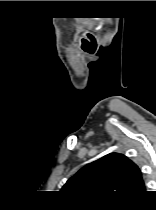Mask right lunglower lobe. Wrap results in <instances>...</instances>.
Returning a JSON list of instances; mask_svg holds the SVG:
<instances>
[{
	"label": "right lung lower lobe",
	"mask_w": 156,
	"mask_h": 210,
	"mask_svg": "<svg viewBox=\"0 0 156 210\" xmlns=\"http://www.w3.org/2000/svg\"><path fill=\"white\" fill-rule=\"evenodd\" d=\"M142 196V195H141ZM138 198H140V197H138ZM138 198H135V199H133V200H136V199H138ZM132 201V200H131Z\"/></svg>",
	"instance_id": "1"
}]
</instances>
